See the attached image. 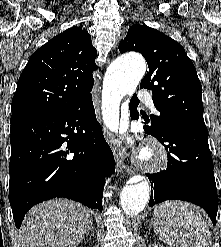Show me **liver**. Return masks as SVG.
<instances>
[{
    "mask_svg": "<svg viewBox=\"0 0 221 247\" xmlns=\"http://www.w3.org/2000/svg\"><path fill=\"white\" fill-rule=\"evenodd\" d=\"M92 223L91 210L67 199L33 207L20 229L21 247H77Z\"/></svg>",
    "mask_w": 221,
    "mask_h": 247,
    "instance_id": "1",
    "label": "liver"
}]
</instances>
